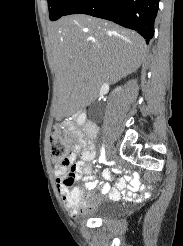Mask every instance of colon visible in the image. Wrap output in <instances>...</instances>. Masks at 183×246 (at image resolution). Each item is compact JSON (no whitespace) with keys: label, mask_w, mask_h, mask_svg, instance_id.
Instances as JSON below:
<instances>
[{"label":"colon","mask_w":183,"mask_h":246,"mask_svg":"<svg viewBox=\"0 0 183 246\" xmlns=\"http://www.w3.org/2000/svg\"><path fill=\"white\" fill-rule=\"evenodd\" d=\"M49 146L51 159L56 166H66V164H69L67 155L68 147L60 128H55L53 130L50 136ZM74 181L75 178L65 177V183H67L68 185H72ZM71 206L75 209L84 208V201L81 198H76L71 203Z\"/></svg>","instance_id":"5ec220e1"}]
</instances>
